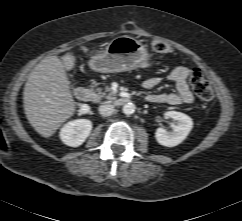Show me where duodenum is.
<instances>
[{"label":"duodenum","mask_w":242,"mask_h":221,"mask_svg":"<svg viewBox=\"0 0 242 221\" xmlns=\"http://www.w3.org/2000/svg\"><path fill=\"white\" fill-rule=\"evenodd\" d=\"M76 98L81 102H89L93 98L92 91L87 87H78L75 91ZM130 102V97L122 96L117 97L113 100V105L115 106H123Z\"/></svg>","instance_id":"1"}]
</instances>
